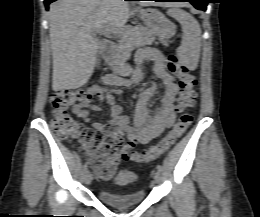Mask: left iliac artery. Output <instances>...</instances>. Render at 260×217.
<instances>
[{"label": "left iliac artery", "instance_id": "obj_1", "mask_svg": "<svg viewBox=\"0 0 260 217\" xmlns=\"http://www.w3.org/2000/svg\"><path fill=\"white\" fill-rule=\"evenodd\" d=\"M156 168L158 169V171H162V166L160 164H158Z\"/></svg>", "mask_w": 260, "mask_h": 217}]
</instances>
